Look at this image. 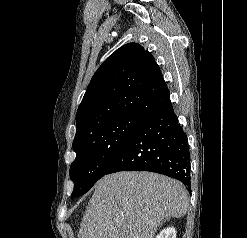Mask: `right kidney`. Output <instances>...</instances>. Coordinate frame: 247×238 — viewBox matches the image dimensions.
I'll list each match as a JSON object with an SVG mask.
<instances>
[{
  "label": "right kidney",
  "instance_id": "ca27d5eb",
  "mask_svg": "<svg viewBox=\"0 0 247 238\" xmlns=\"http://www.w3.org/2000/svg\"><path fill=\"white\" fill-rule=\"evenodd\" d=\"M156 238H176V231L173 227H168L163 229L160 234L156 236Z\"/></svg>",
  "mask_w": 247,
  "mask_h": 238
}]
</instances>
